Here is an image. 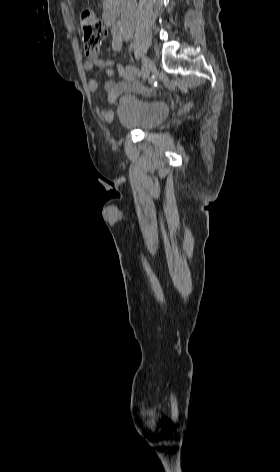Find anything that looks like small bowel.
<instances>
[{
    "label": "small bowel",
    "mask_w": 280,
    "mask_h": 472,
    "mask_svg": "<svg viewBox=\"0 0 280 472\" xmlns=\"http://www.w3.org/2000/svg\"><path fill=\"white\" fill-rule=\"evenodd\" d=\"M84 70L86 72H92L95 68L105 69L106 75L112 77L115 73L114 62L111 59L92 58L85 61ZM119 74L123 78L122 81L108 80L105 83V91L107 93L108 100L114 103L117 97L126 90L132 89L135 86V78L131 76L126 69L118 67ZM89 91L92 94H96L98 90V81L94 78L88 82ZM102 117L105 121H109L112 118V112L108 109H102Z\"/></svg>",
    "instance_id": "small-bowel-1"
}]
</instances>
